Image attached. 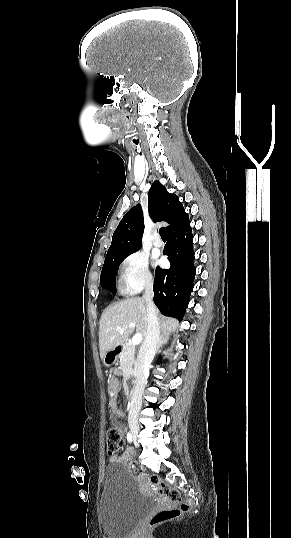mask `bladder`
<instances>
[{
	"label": "bladder",
	"instance_id": "1",
	"mask_svg": "<svg viewBox=\"0 0 291 538\" xmlns=\"http://www.w3.org/2000/svg\"><path fill=\"white\" fill-rule=\"evenodd\" d=\"M153 508L126 466L111 463L105 468L99 524L108 538H125Z\"/></svg>",
	"mask_w": 291,
	"mask_h": 538
}]
</instances>
